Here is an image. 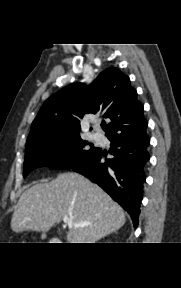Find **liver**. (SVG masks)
Here are the masks:
<instances>
[{
	"label": "liver",
	"mask_w": 181,
	"mask_h": 288,
	"mask_svg": "<svg viewBox=\"0 0 181 288\" xmlns=\"http://www.w3.org/2000/svg\"><path fill=\"white\" fill-rule=\"evenodd\" d=\"M64 216L75 224H89L69 227L66 238L70 243H95L126 222L123 209L98 185L78 173L67 172L22 193L11 219V229L17 233L47 232Z\"/></svg>",
	"instance_id": "obj_1"
}]
</instances>
